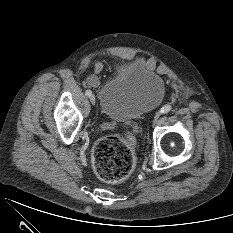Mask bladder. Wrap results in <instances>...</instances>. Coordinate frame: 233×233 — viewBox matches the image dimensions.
<instances>
[{
	"instance_id": "obj_1",
	"label": "bladder",
	"mask_w": 233,
	"mask_h": 233,
	"mask_svg": "<svg viewBox=\"0 0 233 233\" xmlns=\"http://www.w3.org/2000/svg\"><path fill=\"white\" fill-rule=\"evenodd\" d=\"M165 82L154 70L136 60L121 65L116 75L98 88V104L108 118L126 122L157 107Z\"/></svg>"
}]
</instances>
